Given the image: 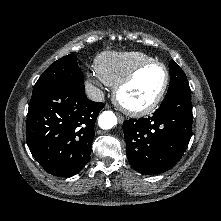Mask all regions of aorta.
I'll return each instance as SVG.
<instances>
[{"mask_svg":"<svg viewBox=\"0 0 221 221\" xmlns=\"http://www.w3.org/2000/svg\"><path fill=\"white\" fill-rule=\"evenodd\" d=\"M98 124L104 130L111 129L117 124V117L112 111H104L99 116Z\"/></svg>","mask_w":221,"mask_h":221,"instance_id":"762f6f07","label":"aorta"}]
</instances>
